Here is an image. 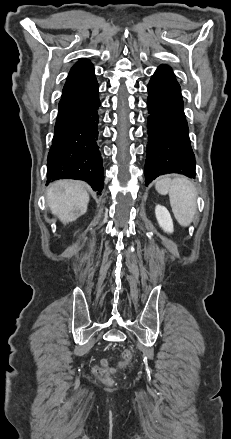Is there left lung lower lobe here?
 <instances>
[{"label": "left lung lower lobe", "mask_w": 231, "mask_h": 439, "mask_svg": "<svg viewBox=\"0 0 231 439\" xmlns=\"http://www.w3.org/2000/svg\"><path fill=\"white\" fill-rule=\"evenodd\" d=\"M148 95L145 185L166 173L195 178V156L188 136L181 89L169 66L158 67L148 84Z\"/></svg>", "instance_id": "obj_1"}]
</instances>
